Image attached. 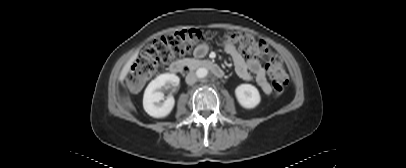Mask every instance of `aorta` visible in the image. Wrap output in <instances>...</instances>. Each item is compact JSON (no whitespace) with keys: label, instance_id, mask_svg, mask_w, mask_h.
<instances>
[{"label":"aorta","instance_id":"762f6f07","mask_svg":"<svg viewBox=\"0 0 406 168\" xmlns=\"http://www.w3.org/2000/svg\"><path fill=\"white\" fill-rule=\"evenodd\" d=\"M207 74H208V70L204 67L198 68L196 71V76L198 78H204L207 76Z\"/></svg>","mask_w":406,"mask_h":168}]
</instances>
